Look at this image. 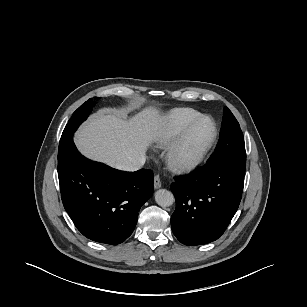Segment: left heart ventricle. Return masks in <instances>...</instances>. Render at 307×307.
<instances>
[{
    "instance_id": "obj_1",
    "label": "left heart ventricle",
    "mask_w": 307,
    "mask_h": 307,
    "mask_svg": "<svg viewBox=\"0 0 307 307\" xmlns=\"http://www.w3.org/2000/svg\"><path fill=\"white\" fill-rule=\"evenodd\" d=\"M214 133L211 121H200L190 132L178 153V160L189 161L197 157L209 144Z\"/></svg>"
}]
</instances>
